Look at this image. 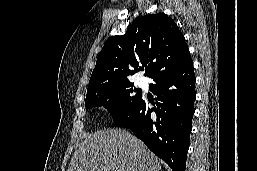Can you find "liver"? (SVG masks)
<instances>
[{
    "mask_svg": "<svg viewBox=\"0 0 257 171\" xmlns=\"http://www.w3.org/2000/svg\"><path fill=\"white\" fill-rule=\"evenodd\" d=\"M70 160L68 171H160L146 145L121 129L86 135Z\"/></svg>",
    "mask_w": 257,
    "mask_h": 171,
    "instance_id": "6515ba94",
    "label": "liver"
}]
</instances>
